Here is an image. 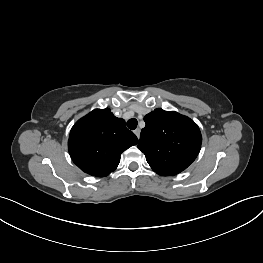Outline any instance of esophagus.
I'll use <instances>...</instances> for the list:
<instances>
[{
	"label": "esophagus",
	"mask_w": 263,
	"mask_h": 263,
	"mask_svg": "<svg viewBox=\"0 0 263 263\" xmlns=\"http://www.w3.org/2000/svg\"><path fill=\"white\" fill-rule=\"evenodd\" d=\"M134 134L139 138L140 137V129L139 128L135 129Z\"/></svg>",
	"instance_id": "1"
}]
</instances>
